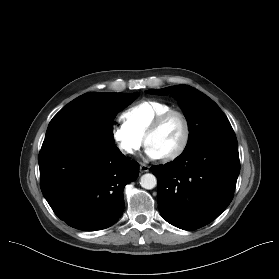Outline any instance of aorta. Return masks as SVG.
<instances>
[{
    "label": "aorta",
    "mask_w": 279,
    "mask_h": 279,
    "mask_svg": "<svg viewBox=\"0 0 279 279\" xmlns=\"http://www.w3.org/2000/svg\"><path fill=\"white\" fill-rule=\"evenodd\" d=\"M140 185L144 189H153L157 185L156 177L151 173H146L140 178Z\"/></svg>",
    "instance_id": "aorta-1"
}]
</instances>
